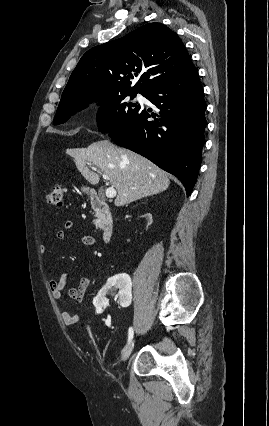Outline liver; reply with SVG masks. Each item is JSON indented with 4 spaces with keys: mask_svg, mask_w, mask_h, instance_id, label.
Instances as JSON below:
<instances>
[{
    "mask_svg": "<svg viewBox=\"0 0 269 426\" xmlns=\"http://www.w3.org/2000/svg\"><path fill=\"white\" fill-rule=\"evenodd\" d=\"M69 154L90 184H98L100 178L87 164L98 167L109 178L117 190L114 201L117 207L163 192L170 185L165 171L141 155L119 148L109 140L94 142L87 148L71 149Z\"/></svg>",
    "mask_w": 269,
    "mask_h": 426,
    "instance_id": "liver-1",
    "label": "liver"
}]
</instances>
